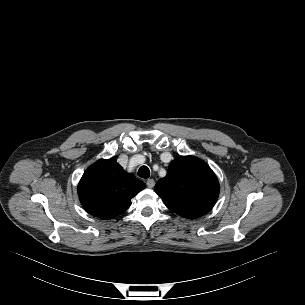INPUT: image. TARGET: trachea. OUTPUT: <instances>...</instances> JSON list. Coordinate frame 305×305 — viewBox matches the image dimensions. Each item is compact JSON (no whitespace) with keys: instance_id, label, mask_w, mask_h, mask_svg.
<instances>
[{"instance_id":"1","label":"trachea","mask_w":305,"mask_h":305,"mask_svg":"<svg viewBox=\"0 0 305 305\" xmlns=\"http://www.w3.org/2000/svg\"><path fill=\"white\" fill-rule=\"evenodd\" d=\"M138 176L147 179L150 176V170L147 166H141L138 170Z\"/></svg>"}]
</instances>
